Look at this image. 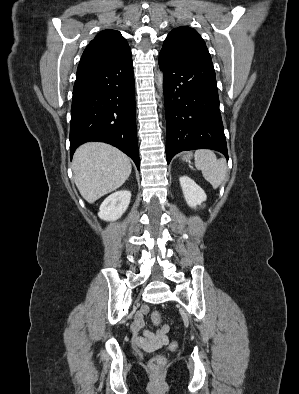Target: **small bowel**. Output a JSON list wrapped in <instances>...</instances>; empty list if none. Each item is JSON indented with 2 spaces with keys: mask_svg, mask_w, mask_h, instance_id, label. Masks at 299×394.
Listing matches in <instances>:
<instances>
[{
  "mask_svg": "<svg viewBox=\"0 0 299 394\" xmlns=\"http://www.w3.org/2000/svg\"><path fill=\"white\" fill-rule=\"evenodd\" d=\"M148 307L143 305L136 314L132 329L134 332L133 343L138 348L147 352H154L168 344L169 326H159L154 332L144 329V318L148 314ZM157 324L158 322L155 321Z\"/></svg>",
  "mask_w": 299,
  "mask_h": 394,
  "instance_id": "obj_1",
  "label": "small bowel"
}]
</instances>
